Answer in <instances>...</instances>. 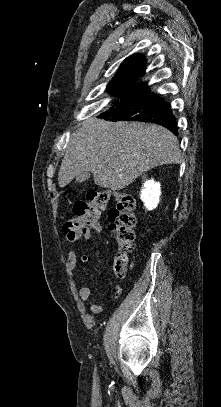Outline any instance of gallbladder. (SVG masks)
<instances>
[{
  "label": "gallbladder",
  "mask_w": 221,
  "mask_h": 407,
  "mask_svg": "<svg viewBox=\"0 0 221 407\" xmlns=\"http://www.w3.org/2000/svg\"><path fill=\"white\" fill-rule=\"evenodd\" d=\"M90 176H91V173H90V172L84 171V172L80 173V174L77 176L76 180H77V182H83V181L88 180V179L90 178Z\"/></svg>",
  "instance_id": "obj_1"
}]
</instances>
